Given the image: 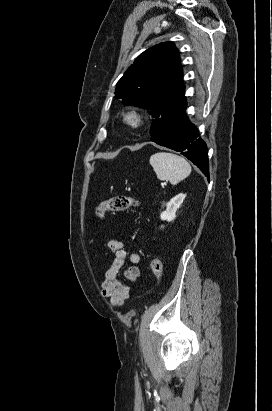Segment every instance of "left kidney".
Instances as JSON below:
<instances>
[{
    "label": "left kidney",
    "instance_id": "5707ae66",
    "mask_svg": "<svg viewBox=\"0 0 272 411\" xmlns=\"http://www.w3.org/2000/svg\"><path fill=\"white\" fill-rule=\"evenodd\" d=\"M186 195L185 194H178L174 198H172L167 204L166 209L161 213L160 218L161 220L166 221H173L176 217V211L179 209L181 204L183 203Z\"/></svg>",
    "mask_w": 272,
    "mask_h": 411
}]
</instances>
